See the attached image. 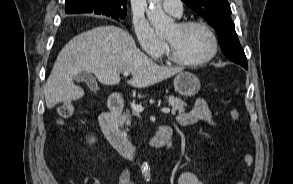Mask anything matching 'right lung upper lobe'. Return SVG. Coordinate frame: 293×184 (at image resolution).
<instances>
[{
	"label": "right lung upper lobe",
	"mask_w": 293,
	"mask_h": 184,
	"mask_svg": "<svg viewBox=\"0 0 293 184\" xmlns=\"http://www.w3.org/2000/svg\"><path fill=\"white\" fill-rule=\"evenodd\" d=\"M127 0H66L65 12L95 13L108 16L110 12L126 13Z\"/></svg>",
	"instance_id": "cb5924a9"
}]
</instances>
